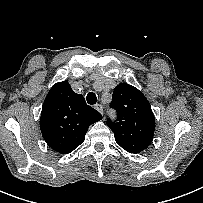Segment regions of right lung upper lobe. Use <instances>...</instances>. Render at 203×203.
Here are the masks:
<instances>
[{
	"label": "right lung upper lobe",
	"mask_w": 203,
	"mask_h": 203,
	"mask_svg": "<svg viewBox=\"0 0 203 203\" xmlns=\"http://www.w3.org/2000/svg\"><path fill=\"white\" fill-rule=\"evenodd\" d=\"M101 119L102 115L63 81L56 83L44 100L40 129L54 151L67 154L83 143L89 125Z\"/></svg>",
	"instance_id": "cb5924a9"
}]
</instances>
